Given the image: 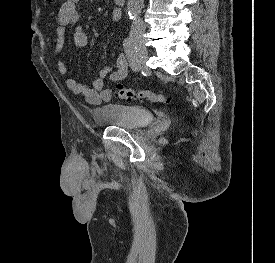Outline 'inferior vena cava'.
I'll list each match as a JSON object with an SVG mask.
<instances>
[{
	"mask_svg": "<svg viewBox=\"0 0 275 263\" xmlns=\"http://www.w3.org/2000/svg\"><path fill=\"white\" fill-rule=\"evenodd\" d=\"M132 33H142L145 31V24L143 20L138 16L134 20L131 26Z\"/></svg>",
	"mask_w": 275,
	"mask_h": 263,
	"instance_id": "obj_1",
	"label": "inferior vena cava"
}]
</instances>
